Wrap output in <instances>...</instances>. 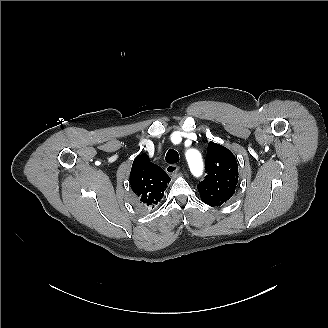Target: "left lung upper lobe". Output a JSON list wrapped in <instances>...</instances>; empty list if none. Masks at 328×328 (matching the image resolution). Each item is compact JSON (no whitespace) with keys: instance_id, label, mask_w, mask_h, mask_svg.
<instances>
[{"instance_id":"1","label":"left lung upper lobe","mask_w":328,"mask_h":328,"mask_svg":"<svg viewBox=\"0 0 328 328\" xmlns=\"http://www.w3.org/2000/svg\"><path fill=\"white\" fill-rule=\"evenodd\" d=\"M205 168L207 175L197 186L201 199L210 206H221L235 192L238 180L236 158L229 149L211 141Z\"/></svg>"}]
</instances>
